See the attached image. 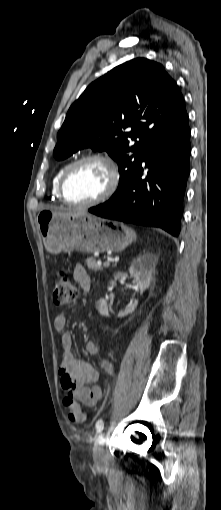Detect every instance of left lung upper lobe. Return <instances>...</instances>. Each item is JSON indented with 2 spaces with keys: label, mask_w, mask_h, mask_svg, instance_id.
Instances as JSON below:
<instances>
[{
  "label": "left lung upper lobe",
  "mask_w": 221,
  "mask_h": 510,
  "mask_svg": "<svg viewBox=\"0 0 221 510\" xmlns=\"http://www.w3.org/2000/svg\"><path fill=\"white\" fill-rule=\"evenodd\" d=\"M187 123L176 82L161 64L136 58L92 82L71 105L53 154L62 160L86 147L107 151L119 166L116 196L149 146Z\"/></svg>",
  "instance_id": "obj_1"
}]
</instances>
